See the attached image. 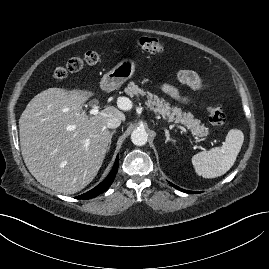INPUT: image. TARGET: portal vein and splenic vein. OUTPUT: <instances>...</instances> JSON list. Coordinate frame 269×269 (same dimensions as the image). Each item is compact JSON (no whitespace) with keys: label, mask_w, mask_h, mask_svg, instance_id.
<instances>
[{"label":"portal vein and splenic vein","mask_w":269,"mask_h":269,"mask_svg":"<svg viewBox=\"0 0 269 269\" xmlns=\"http://www.w3.org/2000/svg\"><path fill=\"white\" fill-rule=\"evenodd\" d=\"M119 104H120V101H119ZM122 109H126V108H122ZM89 113L91 114V115H97V114H99V110H98V107H93L90 111H89Z\"/></svg>","instance_id":"18ae733b"}]
</instances>
